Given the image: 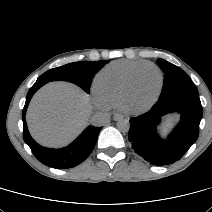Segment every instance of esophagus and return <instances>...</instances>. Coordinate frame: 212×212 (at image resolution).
I'll return each mask as SVG.
<instances>
[{
	"instance_id": "obj_1",
	"label": "esophagus",
	"mask_w": 212,
	"mask_h": 212,
	"mask_svg": "<svg viewBox=\"0 0 212 212\" xmlns=\"http://www.w3.org/2000/svg\"><path fill=\"white\" fill-rule=\"evenodd\" d=\"M121 119H123V116H122L121 114L115 113V114L113 115V120L119 121V120H121Z\"/></svg>"
}]
</instances>
